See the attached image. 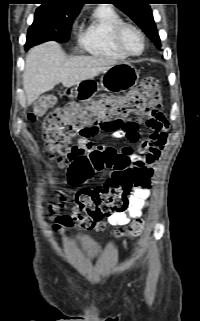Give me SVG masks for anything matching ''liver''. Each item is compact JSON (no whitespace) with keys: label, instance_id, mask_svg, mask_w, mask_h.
<instances>
[{"label":"liver","instance_id":"obj_1","mask_svg":"<svg viewBox=\"0 0 200 321\" xmlns=\"http://www.w3.org/2000/svg\"><path fill=\"white\" fill-rule=\"evenodd\" d=\"M118 62L102 56H76L67 58L60 45L47 42L29 50L23 74L28 104L62 83L72 87L93 79Z\"/></svg>","mask_w":200,"mask_h":321}]
</instances>
